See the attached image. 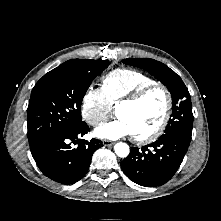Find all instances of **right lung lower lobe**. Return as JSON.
I'll list each match as a JSON object with an SVG mask.
<instances>
[{"mask_svg": "<svg viewBox=\"0 0 221 221\" xmlns=\"http://www.w3.org/2000/svg\"><path fill=\"white\" fill-rule=\"evenodd\" d=\"M90 129L85 122L64 132L47 137L31 148L32 156L41 172L61 184L80 180L88 171L92 154L102 147V141L79 139ZM71 142L77 144L71 147Z\"/></svg>", "mask_w": 221, "mask_h": 221, "instance_id": "right-lung-lower-lobe-1", "label": "right lung lower lobe"}]
</instances>
